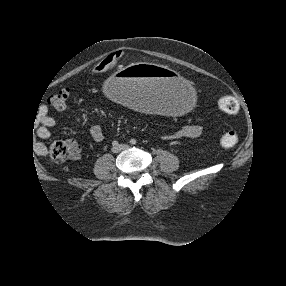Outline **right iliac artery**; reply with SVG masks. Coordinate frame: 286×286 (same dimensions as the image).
<instances>
[{
	"label": "right iliac artery",
	"instance_id": "82829eb1",
	"mask_svg": "<svg viewBox=\"0 0 286 286\" xmlns=\"http://www.w3.org/2000/svg\"><path fill=\"white\" fill-rule=\"evenodd\" d=\"M112 145H113V146H118V142H117V141H113V142H112Z\"/></svg>",
	"mask_w": 286,
	"mask_h": 286
}]
</instances>
